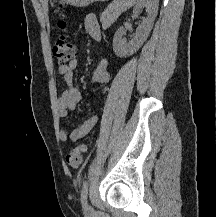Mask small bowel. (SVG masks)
I'll return each instance as SVG.
<instances>
[{
  "label": "small bowel",
  "instance_id": "small-bowel-1",
  "mask_svg": "<svg viewBox=\"0 0 216 217\" xmlns=\"http://www.w3.org/2000/svg\"><path fill=\"white\" fill-rule=\"evenodd\" d=\"M84 27L90 37L97 41L101 40V30L97 19L93 14H89L85 17ZM108 67V59H102L91 78L92 84L102 86L104 92L106 91L107 84L110 79ZM76 68L77 61L74 59L66 65H60L58 69L59 73L63 76L67 84V88L58 97L56 102L57 114L60 117H66L70 111L75 109L76 105L82 99L81 92L73 85L74 71ZM97 122L98 117L96 115H92L79 127L73 129L69 134L64 128H60L59 138L63 142H66L68 140L76 142L89 134Z\"/></svg>",
  "mask_w": 216,
  "mask_h": 217
}]
</instances>
